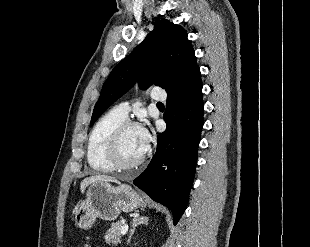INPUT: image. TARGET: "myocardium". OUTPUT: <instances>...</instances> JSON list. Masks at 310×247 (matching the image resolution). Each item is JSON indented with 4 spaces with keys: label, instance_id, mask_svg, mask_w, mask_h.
Masks as SVG:
<instances>
[{
    "label": "myocardium",
    "instance_id": "1",
    "mask_svg": "<svg viewBox=\"0 0 310 247\" xmlns=\"http://www.w3.org/2000/svg\"><path fill=\"white\" fill-rule=\"evenodd\" d=\"M131 127H139V124L131 121V120H124L121 122L112 132L109 137L108 145L106 149V157L108 162L111 164L114 170H133L141 166L144 161L146 160L148 148L145 153L140 157L137 161L132 163H125L122 160L121 156V141L124 133L127 129Z\"/></svg>",
    "mask_w": 310,
    "mask_h": 247
}]
</instances>
